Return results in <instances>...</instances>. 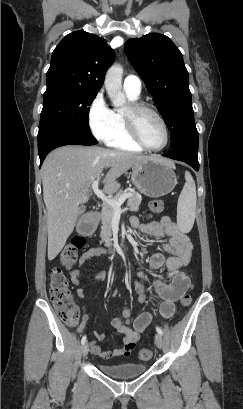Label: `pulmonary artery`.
I'll use <instances>...</instances> for the list:
<instances>
[{
  "instance_id": "obj_1",
  "label": "pulmonary artery",
  "mask_w": 243,
  "mask_h": 409,
  "mask_svg": "<svg viewBox=\"0 0 243 409\" xmlns=\"http://www.w3.org/2000/svg\"><path fill=\"white\" fill-rule=\"evenodd\" d=\"M123 88L133 95H140L142 90L141 80L136 75H128L123 81Z\"/></svg>"
}]
</instances>
